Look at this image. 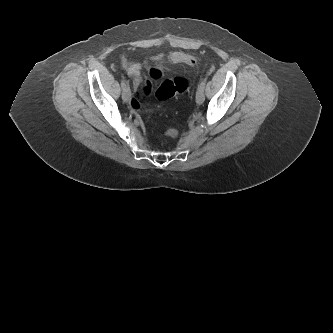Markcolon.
<instances>
[{"instance_id": "5ec220e1", "label": "colon", "mask_w": 333, "mask_h": 333, "mask_svg": "<svg viewBox=\"0 0 333 333\" xmlns=\"http://www.w3.org/2000/svg\"><path fill=\"white\" fill-rule=\"evenodd\" d=\"M189 81L185 78L176 77L173 79H165L160 86L157 88L155 92V96L160 100H166L172 98L177 94H183L189 90ZM145 89L147 94L151 92V82L147 81L145 85ZM133 107H137L135 102H132ZM167 134L169 136H176L178 134L177 130L170 129Z\"/></svg>"}]
</instances>
